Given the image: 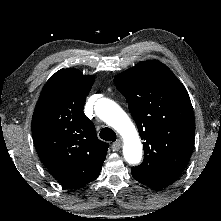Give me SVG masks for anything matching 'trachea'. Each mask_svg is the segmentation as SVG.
I'll list each match as a JSON object with an SVG mask.
<instances>
[{"instance_id": "3493384b", "label": "trachea", "mask_w": 221, "mask_h": 221, "mask_svg": "<svg viewBox=\"0 0 221 221\" xmlns=\"http://www.w3.org/2000/svg\"><path fill=\"white\" fill-rule=\"evenodd\" d=\"M100 138L105 141H115L116 133L110 128H104L100 131Z\"/></svg>"}]
</instances>
